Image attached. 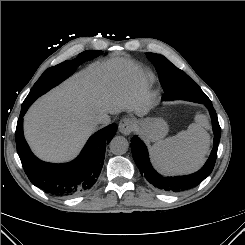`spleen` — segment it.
<instances>
[{"label": "spleen", "mask_w": 245, "mask_h": 245, "mask_svg": "<svg viewBox=\"0 0 245 245\" xmlns=\"http://www.w3.org/2000/svg\"><path fill=\"white\" fill-rule=\"evenodd\" d=\"M196 123L173 137L156 142L150 149L154 166L164 174H185L195 171L203 163L209 147L205 115L198 114Z\"/></svg>", "instance_id": "1"}]
</instances>
